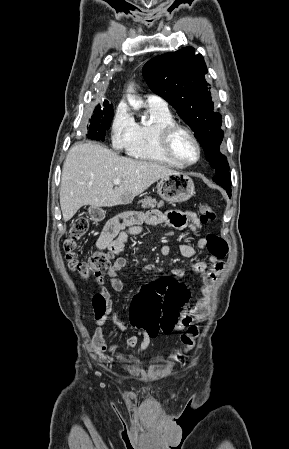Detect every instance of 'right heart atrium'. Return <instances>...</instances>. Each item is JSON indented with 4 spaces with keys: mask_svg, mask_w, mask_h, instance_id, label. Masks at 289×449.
Returning a JSON list of instances; mask_svg holds the SVG:
<instances>
[{
    "mask_svg": "<svg viewBox=\"0 0 289 449\" xmlns=\"http://www.w3.org/2000/svg\"><path fill=\"white\" fill-rule=\"evenodd\" d=\"M137 123L124 104L118 105L111 122V138L118 149L129 150L136 141Z\"/></svg>",
    "mask_w": 289,
    "mask_h": 449,
    "instance_id": "1",
    "label": "right heart atrium"
}]
</instances>
